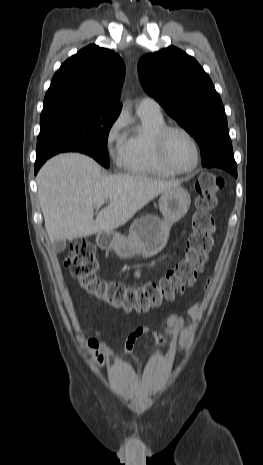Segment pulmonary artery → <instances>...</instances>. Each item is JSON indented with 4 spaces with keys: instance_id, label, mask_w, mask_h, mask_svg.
<instances>
[{
    "instance_id": "e3ab8cb5",
    "label": "pulmonary artery",
    "mask_w": 263,
    "mask_h": 465,
    "mask_svg": "<svg viewBox=\"0 0 263 465\" xmlns=\"http://www.w3.org/2000/svg\"><path fill=\"white\" fill-rule=\"evenodd\" d=\"M138 113L162 115L160 104L151 97H143L137 105Z\"/></svg>"
}]
</instances>
